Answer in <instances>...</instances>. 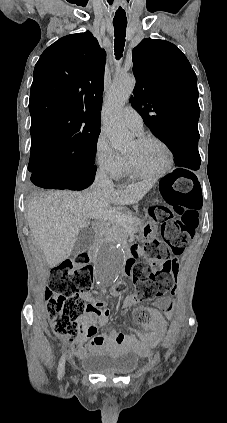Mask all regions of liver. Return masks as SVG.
<instances>
[{"label": "liver", "instance_id": "6515ba94", "mask_svg": "<svg viewBox=\"0 0 227 423\" xmlns=\"http://www.w3.org/2000/svg\"><path fill=\"white\" fill-rule=\"evenodd\" d=\"M151 188L150 182L129 184L126 190H103L92 184L83 192L52 190L34 194L27 202L26 219L48 267H55L69 257L80 231L88 227L95 211L110 210L111 204H138Z\"/></svg>", "mask_w": 227, "mask_h": 423}]
</instances>
